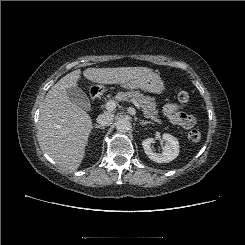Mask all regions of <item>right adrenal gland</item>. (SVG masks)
<instances>
[{"label": "right adrenal gland", "mask_w": 245, "mask_h": 245, "mask_svg": "<svg viewBox=\"0 0 245 245\" xmlns=\"http://www.w3.org/2000/svg\"><path fill=\"white\" fill-rule=\"evenodd\" d=\"M94 128L104 129L105 127L104 126H101V125H95Z\"/></svg>", "instance_id": "obj_1"}]
</instances>
